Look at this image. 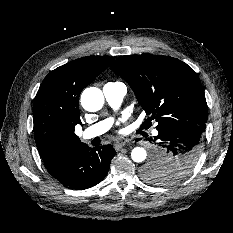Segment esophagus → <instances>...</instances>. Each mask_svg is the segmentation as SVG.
I'll use <instances>...</instances> for the list:
<instances>
[{"label":"esophagus","instance_id":"esophagus-1","mask_svg":"<svg viewBox=\"0 0 233 233\" xmlns=\"http://www.w3.org/2000/svg\"><path fill=\"white\" fill-rule=\"evenodd\" d=\"M126 143H127L126 140H120V141L115 142L114 144L115 150L119 151L122 147L126 145Z\"/></svg>","mask_w":233,"mask_h":233}]
</instances>
